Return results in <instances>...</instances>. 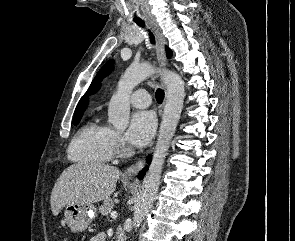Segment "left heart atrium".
I'll use <instances>...</instances> for the list:
<instances>
[{
    "label": "left heart atrium",
    "mask_w": 295,
    "mask_h": 241,
    "mask_svg": "<svg viewBox=\"0 0 295 241\" xmlns=\"http://www.w3.org/2000/svg\"><path fill=\"white\" fill-rule=\"evenodd\" d=\"M155 128L156 120L151 112H137L131 118L125 139L133 147H143L151 140Z\"/></svg>",
    "instance_id": "39dd6f15"
}]
</instances>
